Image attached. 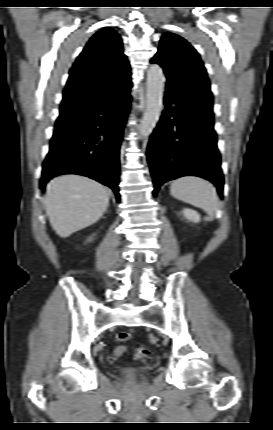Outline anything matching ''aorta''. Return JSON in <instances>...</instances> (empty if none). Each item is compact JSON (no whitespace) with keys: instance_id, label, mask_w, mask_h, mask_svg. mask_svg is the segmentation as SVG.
I'll use <instances>...</instances> for the list:
<instances>
[{"instance_id":"1","label":"aorta","mask_w":273,"mask_h":430,"mask_svg":"<svg viewBox=\"0 0 273 430\" xmlns=\"http://www.w3.org/2000/svg\"><path fill=\"white\" fill-rule=\"evenodd\" d=\"M165 75L158 65H151L147 74L146 109L139 127L141 136L152 133L159 121L163 107V92L165 86Z\"/></svg>"}]
</instances>
